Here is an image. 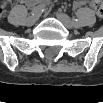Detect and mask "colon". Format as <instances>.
<instances>
[{
    "instance_id": "5ec220e1",
    "label": "colon",
    "mask_w": 103,
    "mask_h": 103,
    "mask_svg": "<svg viewBox=\"0 0 103 103\" xmlns=\"http://www.w3.org/2000/svg\"><path fill=\"white\" fill-rule=\"evenodd\" d=\"M89 5L95 10V12L97 13V15L100 18H103V3L100 0H92L89 2ZM5 6H2L0 8V14H3L5 11Z\"/></svg>"
}]
</instances>
